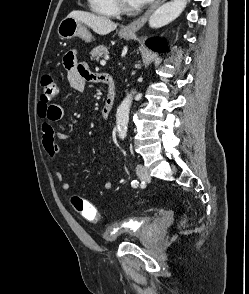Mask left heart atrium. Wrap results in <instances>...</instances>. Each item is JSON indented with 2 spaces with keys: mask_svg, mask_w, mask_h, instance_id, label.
Wrapping results in <instances>:
<instances>
[{
  "mask_svg": "<svg viewBox=\"0 0 249 294\" xmlns=\"http://www.w3.org/2000/svg\"><path fill=\"white\" fill-rule=\"evenodd\" d=\"M151 0H131V3L134 6H142L145 5L146 3L150 2Z\"/></svg>",
  "mask_w": 249,
  "mask_h": 294,
  "instance_id": "1",
  "label": "left heart atrium"
}]
</instances>
